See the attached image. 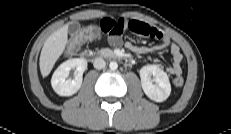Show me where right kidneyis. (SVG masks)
Returning <instances> with one entry per match:
<instances>
[{
    "label": "right kidney",
    "instance_id": "right-kidney-1",
    "mask_svg": "<svg viewBox=\"0 0 231 134\" xmlns=\"http://www.w3.org/2000/svg\"><path fill=\"white\" fill-rule=\"evenodd\" d=\"M86 68L87 61L82 58H72L63 62L52 76V88L60 96H72L80 89ZM71 69L75 70L73 79L68 78Z\"/></svg>",
    "mask_w": 231,
    "mask_h": 134
}]
</instances>
